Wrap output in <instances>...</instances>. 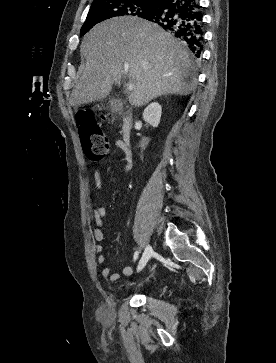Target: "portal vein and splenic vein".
<instances>
[{
  "instance_id": "18ae733b",
  "label": "portal vein and splenic vein",
  "mask_w": 276,
  "mask_h": 363,
  "mask_svg": "<svg viewBox=\"0 0 276 363\" xmlns=\"http://www.w3.org/2000/svg\"><path fill=\"white\" fill-rule=\"evenodd\" d=\"M135 88L134 84H128L127 89L128 90H133Z\"/></svg>"
}]
</instances>
